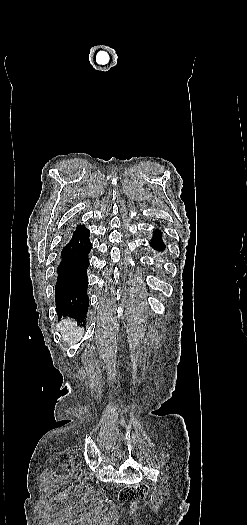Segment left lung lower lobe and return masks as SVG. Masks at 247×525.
I'll return each instance as SVG.
<instances>
[{
  "instance_id": "obj_1",
  "label": "left lung lower lobe",
  "mask_w": 247,
  "mask_h": 525,
  "mask_svg": "<svg viewBox=\"0 0 247 525\" xmlns=\"http://www.w3.org/2000/svg\"><path fill=\"white\" fill-rule=\"evenodd\" d=\"M151 247L156 250H164L165 244L161 239V232L159 230L154 232V237L150 241Z\"/></svg>"
}]
</instances>
